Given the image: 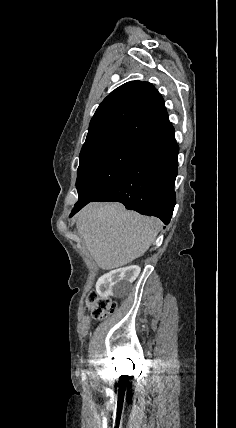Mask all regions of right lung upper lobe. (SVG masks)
Instances as JSON below:
<instances>
[{
    "label": "right lung upper lobe",
    "mask_w": 236,
    "mask_h": 428,
    "mask_svg": "<svg viewBox=\"0 0 236 428\" xmlns=\"http://www.w3.org/2000/svg\"><path fill=\"white\" fill-rule=\"evenodd\" d=\"M169 122L164 100L148 82L130 81L111 92L89 125L80 160L125 141H141Z\"/></svg>",
    "instance_id": "cb5924a9"
}]
</instances>
